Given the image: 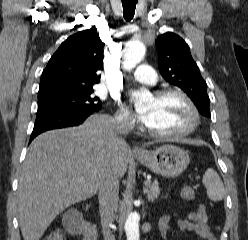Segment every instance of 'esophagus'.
<instances>
[{
  "instance_id": "esophagus-1",
  "label": "esophagus",
  "mask_w": 248,
  "mask_h": 240,
  "mask_svg": "<svg viewBox=\"0 0 248 240\" xmlns=\"http://www.w3.org/2000/svg\"><path fill=\"white\" fill-rule=\"evenodd\" d=\"M132 152L134 154H138V155L144 154V150L141 147L137 146V145L133 146Z\"/></svg>"
}]
</instances>
